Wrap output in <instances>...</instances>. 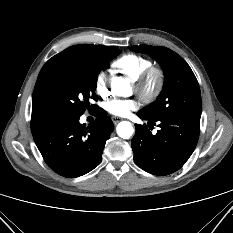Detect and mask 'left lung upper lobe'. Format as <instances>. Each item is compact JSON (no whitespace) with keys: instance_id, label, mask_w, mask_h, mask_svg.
<instances>
[{"instance_id":"5c2ea615","label":"left lung upper lobe","mask_w":233,"mask_h":233,"mask_svg":"<svg viewBox=\"0 0 233 233\" xmlns=\"http://www.w3.org/2000/svg\"><path fill=\"white\" fill-rule=\"evenodd\" d=\"M133 51L148 53L161 65L165 82L157 100L139 112L157 121L173 115L201 116V94L198 81L186 61L166 47L140 45Z\"/></svg>"}]
</instances>
